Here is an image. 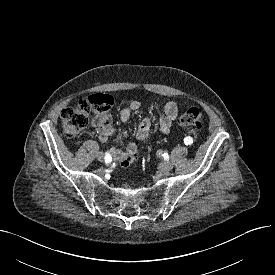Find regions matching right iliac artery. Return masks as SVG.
Here are the masks:
<instances>
[{
    "mask_svg": "<svg viewBox=\"0 0 275 275\" xmlns=\"http://www.w3.org/2000/svg\"><path fill=\"white\" fill-rule=\"evenodd\" d=\"M104 159H105L106 163H110L112 161V157H111L110 153L107 152L105 154V158Z\"/></svg>",
    "mask_w": 275,
    "mask_h": 275,
    "instance_id": "1",
    "label": "right iliac artery"
}]
</instances>
